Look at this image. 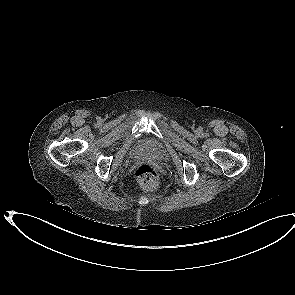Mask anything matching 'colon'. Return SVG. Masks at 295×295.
<instances>
[{"label": "colon", "instance_id": "1", "mask_svg": "<svg viewBox=\"0 0 295 295\" xmlns=\"http://www.w3.org/2000/svg\"><path fill=\"white\" fill-rule=\"evenodd\" d=\"M139 186L145 191L156 190L160 184V175L157 169L149 164L140 165L135 171Z\"/></svg>", "mask_w": 295, "mask_h": 295}]
</instances>
